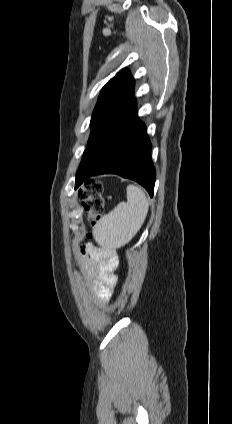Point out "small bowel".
<instances>
[{
	"instance_id": "small-bowel-1",
	"label": "small bowel",
	"mask_w": 232,
	"mask_h": 424,
	"mask_svg": "<svg viewBox=\"0 0 232 424\" xmlns=\"http://www.w3.org/2000/svg\"><path fill=\"white\" fill-rule=\"evenodd\" d=\"M79 257L85 267L92 290L100 302H105L112 294L117 278L112 272L114 259L110 256L102 258L92 252L90 247L80 249Z\"/></svg>"
}]
</instances>
